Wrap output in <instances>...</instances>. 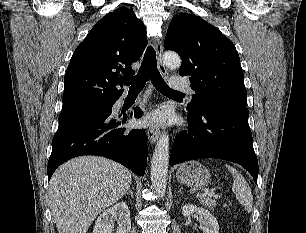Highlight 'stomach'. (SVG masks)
Masks as SVG:
<instances>
[{
    "label": "stomach",
    "mask_w": 306,
    "mask_h": 233,
    "mask_svg": "<svg viewBox=\"0 0 306 233\" xmlns=\"http://www.w3.org/2000/svg\"><path fill=\"white\" fill-rule=\"evenodd\" d=\"M176 177L179 182L192 188H204L210 181L209 171L198 161H188L180 165Z\"/></svg>",
    "instance_id": "obj_1"
}]
</instances>
